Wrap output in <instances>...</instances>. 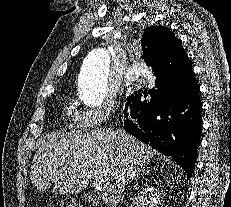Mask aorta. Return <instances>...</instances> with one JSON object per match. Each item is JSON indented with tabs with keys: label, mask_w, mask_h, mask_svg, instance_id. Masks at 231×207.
<instances>
[{
	"label": "aorta",
	"mask_w": 231,
	"mask_h": 207,
	"mask_svg": "<svg viewBox=\"0 0 231 207\" xmlns=\"http://www.w3.org/2000/svg\"><path fill=\"white\" fill-rule=\"evenodd\" d=\"M109 68L110 56L104 48L93 49L84 59L78 89L79 98L86 106L98 107L105 101Z\"/></svg>",
	"instance_id": "aorta-1"
}]
</instances>
